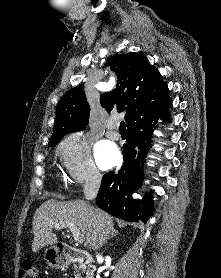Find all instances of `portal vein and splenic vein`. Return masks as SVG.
I'll list each match as a JSON object with an SVG mask.
<instances>
[{"mask_svg":"<svg viewBox=\"0 0 221 278\" xmlns=\"http://www.w3.org/2000/svg\"><path fill=\"white\" fill-rule=\"evenodd\" d=\"M50 227H54L55 229H64V228H68L72 235H73V238L75 240V242L77 243H83L84 242V237L83 235L80 233V231L78 230V228L73 224V223H70V222H62V223H59V224H55V225H50Z\"/></svg>","mask_w":221,"mask_h":278,"instance_id":"1","label":"portal vein and splenic vein"}]
</instances>
